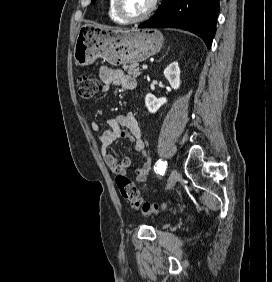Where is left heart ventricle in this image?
I'll list each match as a JSON object with an SVG mask.
<instances>
[{
  "label": "left heart ventricle",
  "instance_id": "1",
  "mask_svg": "<svg viewBox=\"0 0 272 282\" xmlns=\"http://www.w3.org/2000/svg\"><path fill=\"white\" fill-rule=\"evenodd\" d=\"M122 7L131 16L144 14L153 0H121Z\"/></svg>",
  "mask_w": 272,
  "mask_h": 282
}]
</instances>
